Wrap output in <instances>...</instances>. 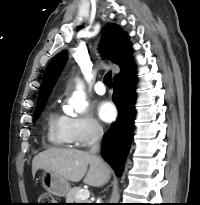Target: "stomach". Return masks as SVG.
<instances>
[{
	"instance_id": "obj_1",
	"label": "stomach",
	"mask_w": 200,
	"mask_h": 205,
	"mask_svg": "<svg viewBox=\"0 0 200 205\" xmlns=\"http://www.w3.org/2000/svg\"><path fill=\"white\" fill-rule=\"evenodd\" d=\"M41 181L43 187L54 196L64 197L70 190L68 180L53 172L44 171L41 176Z\"/></svg>"
}]
</instances>
